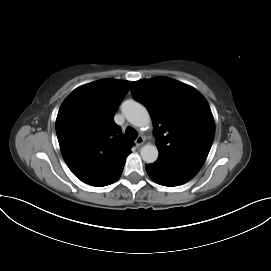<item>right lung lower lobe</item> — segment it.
<instances>
[{
    "mask_svg": "<svg viewBox=\"0 0 271 271\" xmlns=\"http://www.w3.org/2000/svg\"><path fill=\"white\" fill-rule=\"evenodd\" d=\"M124 167V166H123ZM123 167L111 178L109 179L107 182L101 184V185H98L99 187L101 186H106V185H109V184H112L114 183L115 181L118 180V178L120 177L121 173H122V170H123Z\"/></svg>",
    "mask_w": 271,
    "mask_h": 271,
    "instance_id": "1",
    "label": "right lung lower lobe"
}]
</instances>
